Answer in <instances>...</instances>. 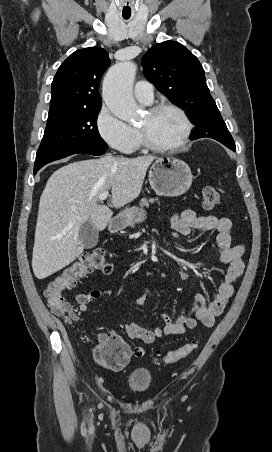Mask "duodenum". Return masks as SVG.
<instances>
[{
  "instance_id": "410a0bca",
  "label": "duodenum",
  "mask_w": 272,
  "mask_h": 452,
  "mask_svg": "<svg viewBox=\"0 0 272 452\" xmlns=\"http://www.w3.org/2000/svg\"><path fill=\"white\" fill-rule=\"evenodd\" d=\"M121 228H122V223H121L120 217L115 216L109 221V224H108L109 232L115 233V232H118L119 230H121Z\"/></svg>"
}]
</instances>
